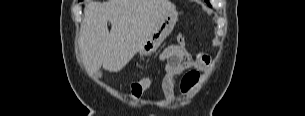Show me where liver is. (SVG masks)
Returning <instances> with one entry per match:
<instances>
[{
    "label": "liver",
    "mask_w": 305,
    "mask_h": 116,
    "mask_svg": "<svg viewBox=\"0 0 305 116\" xmlns=\"http://www.w3.org/2000/svg\"><path fill=\"white\" fill-rule=\"evenodd\" d=\"M173 11L175 5L169 0L90 1L84 9L79 39L81 60L87 73L94 74L101 66L110 72L123 69L161 16Z\"/></svg>",
    "instance_id": "obj_1"
}]
</instances>
